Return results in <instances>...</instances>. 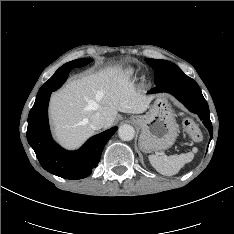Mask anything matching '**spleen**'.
I'll use <instances>...</instances> for the list:
<instances>
[{"label":"spleen","mask_w":234,"mask_h":234,"mask_svg":"<svg viewBox=\"0 0 234 234\" xmlns=\"http://www.w3.org/2000/svg\"><path fill=\"white\" fill-rule=\"evenodd\" d=\"M150 164L162 175L172 176L186 164L193 160L194 152L180 155L160 156L149 155Z\"/></svg>","instance_id":"1"}]
</instances>
